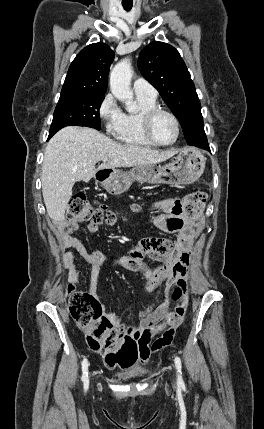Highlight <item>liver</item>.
<instances>
[{"label":"liver","mask_w":264,"mask_h":429,"mask_svg":"<svg viewBox=\"0 0 264 429\" xmlns=\"http://www.w3.org/2000/svg\"><path fill=\"white\" fill-rule=\"evenodd\" d=\"M177 152L120 144L92 128L65 127L50 139L44 154L41 181L47 214L62 223L75 182H89L98 170L155 164ZM99 161L103 163L96 169Z\"/></svg>","instance_id":"liver-1"}]
</instances>
